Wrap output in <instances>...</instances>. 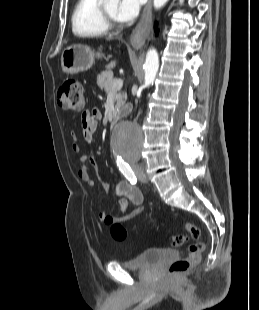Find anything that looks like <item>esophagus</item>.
Listing matches in <instances>:
<instances>
[{"label":"esophagus","instance_id":"1","mask_svg":"<svg viewBox=\"0 0 259 310\" xmlns=\"http://www.w3.org/2000/svg\"><path fill=\"white\" fill-rule=\"evenodd\" d=\"M151 8H152V0H148L140 21L136 25L130 37V44L134 48H141L146 38L148 37L151 29Z\"/></svg>","mask_w":259,"mask_h":310}]
</instances>
